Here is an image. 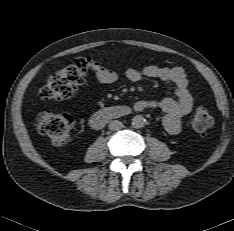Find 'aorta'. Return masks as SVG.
Segmentation results:
<instances>
[{
	"instance_id": "1",
	"label": "aorta",
	"mask_w": 234,
	"mask_h": 231,
	"mask_svg": "<svg viewBox=\"0 0 234 231\" xmlns=\"http://www.w3.org/2000/svg\"><path fill=\"white\" fill-rule=\"evenodd\" d=\"M145 122H146V120H145V118L142 115H136L132 119V125L135 128H142V127H144Z\"/></svg>"
}]
</instances>
